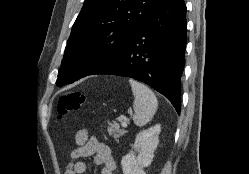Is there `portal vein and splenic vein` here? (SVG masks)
Returning a JSON list of instances; mask_svg holds the SVG:
<instances>
[{
	"label": "portal vein and splenic vein",
	"mask_w": 249,
	"mask_h": 174,
	"mask_svg": "<svg viewBox=\"0 0 249 174\" xmlns=\"http://www.w3.org/2000/svg\"><path fill=\"white\" fill-rule=\"evenodd\" d=\"M118 121L121 122L123 127H127L128 119L125 117H119Z\"/></svg>",
	"instance_id": "18ae733b"
}]
</instances>
